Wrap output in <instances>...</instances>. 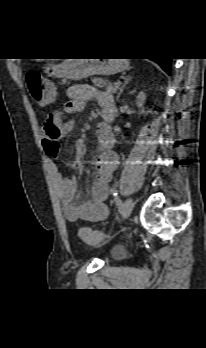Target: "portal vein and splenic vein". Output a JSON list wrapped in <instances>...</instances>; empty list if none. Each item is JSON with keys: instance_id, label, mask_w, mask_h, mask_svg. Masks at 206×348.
Segmentation results:
<instances>
[{"instance_id": "1", "label": "portal vein and splenic vein", "mask_w": 206, "mask_h": 348, "mask_svg": "<svg viewBox=\"0 0 206 348\" xmlns=\"http://www.w3.org/2000/svg\"><path fill=\"white\" fill-rule=\"evenodd\" d=\"M119 85H120V84H119V83H117V82H116V83H114V86H115V87H119Z\"/></svg>"}]
</instances>
